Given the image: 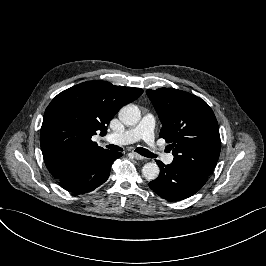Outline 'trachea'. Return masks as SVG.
<instances>
[{"label":"trachea","mask_w":266,"mask_h":266,"mask_svg":"<svg viewBox=\"0 0 266 266\" xmlns=\"http://www.w3.org/2000/svg\"><path fill=\"white\" fill-rule=\"evenodd\" d=\"M106 147L108 149L115 150V151H123V149L121 147L113 145V144L107 145ZM136 152L139 153L140 155H143L144 157H148V158H156L157 157V155L154 154L153 152H150L149 150H147L145 148H141V147H138L136 149Z\"/></svg>","instance_id":"trachea-1"}]
</instances>
